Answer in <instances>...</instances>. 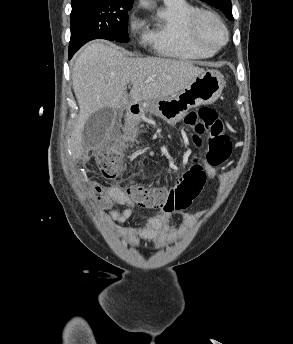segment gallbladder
Masks as SVG:
<instances>
[{
  "label": "gallbladder",
  "instance_id": "1",
  "mask_svg": "<svg viewBox=\"0 0 293 344\" xmlns=\"http://www.w3.org/2000/svg\"><path fill=\"white\" fill-rule=\"evenodd\" d=\"M115 116L116 111L114 109L104 107L88 118L82 131V145L85 149L95 148L103 142Z\"/></svg>",
  "mask_w": 293,
  "mask_h": 344
}]
</instances>
